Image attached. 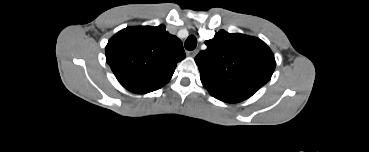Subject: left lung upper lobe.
<instances>
[{
    "label": "left lung upper lobe",
    "mask_w": 369,
    "mask_h": 152,
    "mask_svg": "<svg viewBox=\"0 0 369 152\" xmlns=\"http://www.w3.org/2000/svg\"><path fill=\"white\" fill-rule=\"evenodd\" d=\"M195 58L204 87L213 97L248 99L266 84L276 62L259 38L220 30Z\"/></svg>",
    "instance_id": "5c2ea615"
}]
</instances>
